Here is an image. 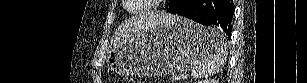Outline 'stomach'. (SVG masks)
Here are the masks:
<instances>
[{
  "label": "stomach",
  "mask_w": 307,
  "mask_h": 83,
  "mask_svg": "<svg viewBox=\"0 0 307 83\" xmlns=\"http://www.w3.org/2000/svg\"><path fill=\"white\" fill-rule=\"evenodd\" d=\"M212 51L209 28L172 16L143 34L115 45L107 55L111 70L125 76H167L184 72Z\"/></svg>",
  "instance_id": "1"
}]
</instances>
